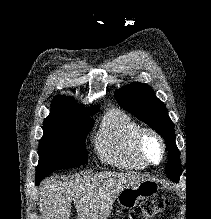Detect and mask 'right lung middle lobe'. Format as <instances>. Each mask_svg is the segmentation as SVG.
<instances>
[{
  "instance_id": "right-lung-middle-lobe-1",
  "label": "right lung middle lobe",
  "mask_w": 211,
  "mask_h": 219,
  "mask_svg": "<svg viewBox=\"0 0 211 219\" xmlns=\"http://www.w3.org/2000/svg\"><path fill=\"white\" fill-rule=\"evenodd\" d=\"M89 116L47 117L44 120V134L39 141L36 185L55 170L87 162L85 139L94 124Z\"/></svg>"
}]
</instances>
